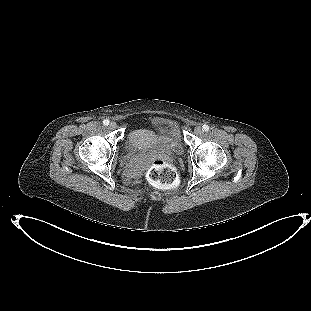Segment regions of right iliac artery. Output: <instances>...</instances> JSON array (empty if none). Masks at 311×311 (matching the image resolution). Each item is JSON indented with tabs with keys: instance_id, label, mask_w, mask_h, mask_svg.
<instances>
[{
	"instance_id": "1",
	"label": "right iliac artery",
	"mask_w": 311,
	"mask_h": 311,
	"mask_svg": "<svg viewBox=\"0 0 311 311\" xmlns=\"http://www.w3.org/2000/svg\"><path fill=\"white\" fill-rule=\"evenodd\" d=\"M103 124H104L105 126H108V125H109V120H108V119H105V120L103 121Z\"/></svg>"
}]
</instances>
